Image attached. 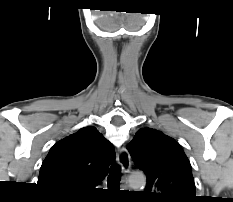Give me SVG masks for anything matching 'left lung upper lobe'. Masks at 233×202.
I'll return each mask as SVG.
<instances>
[{
    "mask_svg": "<svg viewBox=\"0 0 233 202\" xmlns=\"http://www.w3.org/2000/svg\"><path fill=\"white\" fill-rule=\"evenodd\" d=\"M127 149L147 176L144 191L151 202H195L190 162L171 137L151 128L140 129Z\"/></svg>",
    "mask_w": 233,
    "mask_h": 202,
    "instance_id": "left-lung-upper-lobe-1",
    "label": "left lung upper lobe"
}]
</instances>
